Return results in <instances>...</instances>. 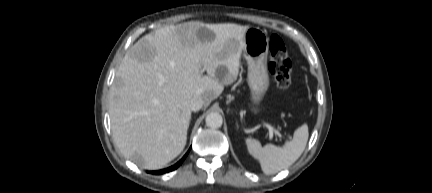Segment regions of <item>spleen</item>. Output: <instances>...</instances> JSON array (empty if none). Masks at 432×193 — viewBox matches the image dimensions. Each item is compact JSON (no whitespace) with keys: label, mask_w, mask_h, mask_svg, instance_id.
Wrapping results in <instances>:
<instances>
[{"label":"spleen","mask_w":432,"mask_h":193,"mask_svg":"<svg viewBox=\"0 0 432 193\" xmlns=\"http://www.w3.org/2000/svg\"><path fill=\"white\" fill-rule=\"evenodd\" d=\"M308 136V126L304 124L283 147L272 144L262 147L258 140L251 137L246 138L245 142L249 153L259 160L264 174L272 175L288 168L299 159L307 145Z\"/></svg>","instance_id":"3e777b00"}]
</instances>
